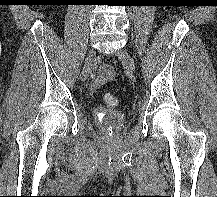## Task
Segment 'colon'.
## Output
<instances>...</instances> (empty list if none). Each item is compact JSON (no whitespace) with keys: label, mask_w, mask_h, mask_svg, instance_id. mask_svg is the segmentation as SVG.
<instances>
[{"label":"colon","mask_w":217,"mask_h":197,"mask_svg":"<svg viewBox=\"0 0 217 197\" xmlns=\"http://www.w3.org/2000/svg\"><path fill=\"white\" fill-rule=\"evenodd\" d=\"M105 103L109 107H116L119 103L118 99L112 94H106L104 97Z\"/></svg>","instance_id":"obj_1"}]
</instances>
